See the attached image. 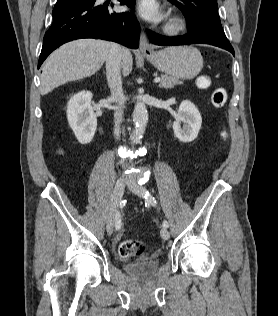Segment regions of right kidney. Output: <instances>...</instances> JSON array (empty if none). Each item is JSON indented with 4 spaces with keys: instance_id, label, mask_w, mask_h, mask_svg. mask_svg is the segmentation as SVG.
I'll list each match as a JSON object with an SVG mask.
<instances>
[{
    "instance_id": "1",
    "label": "right kidney",
    "mask_w": 278,
    "mask_h": 316,
    "mask_svg": "<svg viewBox=\"0 0 278 316\" xmlns=\"http://www.w3.org/2000/svg\"><path fill=\"white\" fill-rule=\"evenodd\" d=\"M92 93L81 91L75 94L67 104V119L75 137L80 144H88L92 141L97 119L91 106Z\"/></svg>"
}]
</instances>
